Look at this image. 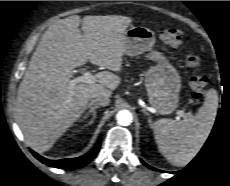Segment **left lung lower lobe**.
Here are the masks:
<instances>
[{"mask_svg": "<svg viewBox=\"0 0 230 186\" xmlns=\"http://www.w3.org/2000/svg\"><path fill=\"white\" fill-rule=\"evenodd\" d=\"M146 165V164H145ZM147 167H149L150 169H153V170H157V169H154V168H152V167H150V166H148V165H146ZM157 171H159V170H157Z\"/></svg>", "mask_w": 230, "mask_h": 186, "instance_id": "obj_1", "label": "left lung lower lobe"}]
</instances>
